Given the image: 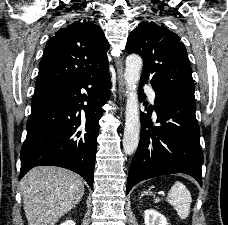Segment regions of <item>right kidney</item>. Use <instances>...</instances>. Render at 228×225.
I'll return each instance as SVG.
<instances>
[{"label": "right kidney", "mask_w": 228, "mask_h": 225, "mask_svg": "<svg viewBox=\"0 0 228 225\" xmlns=\"http://www.w3.org/2000/svg\"><path fill=\"white\" fill-rule=\"evenodd\" d=\"M61 225H75L74 221H64Z\"/></svg>", "instance_id": "1"}]
</instances>
